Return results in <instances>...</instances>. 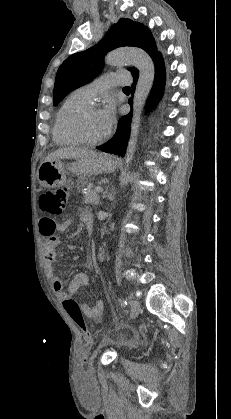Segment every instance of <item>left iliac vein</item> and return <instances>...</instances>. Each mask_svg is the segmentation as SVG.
<instances>
[{
    "mask_svg": "<svg viewBox=\"0 0 231 419\" xmlns=\"http://www.w3.org/2000/svg\"><path fill=\"white\" fill-rule=\"evenodd\" d=\"M129 303H130V314H129V318L130 319H134V318L137 317V315H138V313L140 311V304L135 299H130Z\"/></svg>",
    "mask_w": 231,
    "mask_h": 419,
    "instance_id": "obj_1",
    "label": "left iliac vein"
}]
</instances>
